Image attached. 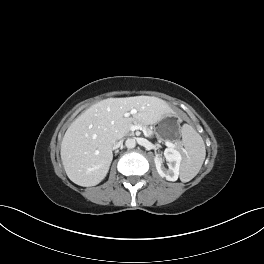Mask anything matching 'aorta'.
<instances>
[{
  "label": "aorta",
  "mask_w": 264,
  "mask_h": 264,
  "mask_svg": "<svg viewBox=\"0 0 264 264\" xmlns=\"http://www.w3.org/2000/svg\"><path fill=\"white\" fill-rule=\"evenodd\" d=\"M125 146H126L128 149H133V148H135V146H136V141H135V139L128 138V139L125 141Z\"/></svg>",
  "instance_id": "762f6f07"
}]
</instances>
